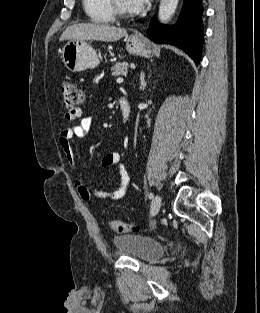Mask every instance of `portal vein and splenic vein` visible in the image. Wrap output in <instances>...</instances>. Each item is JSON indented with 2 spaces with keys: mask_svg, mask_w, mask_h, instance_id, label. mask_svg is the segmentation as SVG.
Returning <instances> with one entry per match:
<instances>
[{
  "mask_svg": "<svg viewBox=\"0 0 260 313\" xmlns=\"http://www.w3.org/2000/svg\"><path fill=\"white\" fill-rule=\"evenodd\" d=\"M116 81H117V83H122L124 81V79L123 78H118Z\"/></svg>",
  "mask_w": 260,
  "mask_h": 313,
  "instance_id": "18ae733b",
  "label": "portal vein and splenic vein"
}]
</instances>
